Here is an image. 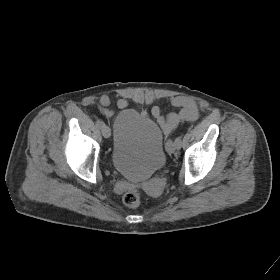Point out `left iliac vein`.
<instances>
[{
  "label": "left iliac vein",
  "mask_w": 280,
  "mask_h": 280,
  "mask_svg": "<svg viewBox=\"0 0 280 280\" xmlns=\"http://www.w3.org/2000/svg\"><path fill=\"white\" fill-rule=\"evenodd\" d=\"M176 148H177V145H176L175 142H173L172 140H169V141L167 142L166 150H167V152H168L169 154L174 153L175 150H176Z\"/></svg>",
  "instance_id": "obj_1"
}]
</instances>
